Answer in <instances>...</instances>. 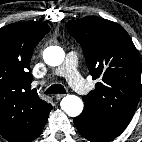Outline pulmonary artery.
Wrapping results in <instances>:
<instances>
[{"label": "pulmonary artery", "mask_w": 142, "mask_h": 142, "mask_svg": "<svg viewBox=\"0 0 142 142\" xmlns=\"http://www.w3.org/2000/svg\"><path fill=\"white\" fill-rule=\"evenodd\" d=\"M78 55L75 51H70L61 66H59L54 74L65 77L69 84L77 92L86 94L89 91V85L81 77L77 70Z\"/></svg>", "instance_id": "e3ab8cb5"}]
</instances>
